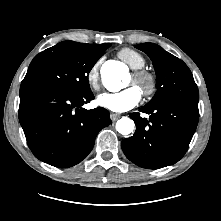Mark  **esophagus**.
Returning <instances> with one entry per match:
<instances>
[{"label": "esophagus", "mask_w": 221, "mask_h": 221, "mask_svg": "<svg viewBox=\"0 0 221 221\" xmlns=\"http://www.w3.org/2000/svg\"><path fill=\"white\" fill-rule=\"evenodd\" d=\"M120 117V114L118 113H110V118L112 121H116Z\"/></svg>", "instance_id": "1"}]
</instances>
